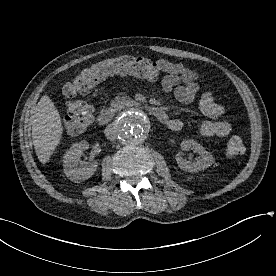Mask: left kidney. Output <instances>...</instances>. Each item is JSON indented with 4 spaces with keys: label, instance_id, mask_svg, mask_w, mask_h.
I'll return each mask as SVG.
<instances>
[{
    "label": "left kidney",
    "instance_id": "5707ae66",
    "mask_svg": "<svg viewBox=\"0 0 276 276\" xmlns=\"http://www.w3.org/2000/svg\"><path fill=\"white\" fill-rule=\"evenodd\" d=\"M182 151L193 150L200 155V159L195 162L188 161L183 158V153L179 152L176 155V161L180 169L183 171L193 173L207 169L214 163L213 156L205 150V148L192 139L184 140L181 142Z\"/></svg>",
    "mask_w": 276,
    "mask_h": 276
}]
</instances>
